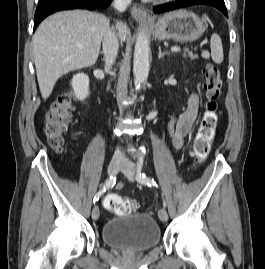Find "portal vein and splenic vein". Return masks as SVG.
<instances>
[{
    "instance_id": "1",
    "label": "portal vein and splenic vein",
    "mask_w": 265,
    "mask_h": 269,
    "mask_svg": "<svg viewBox=\"0 0 265 269\" xmlns=\"http://www.w3.org/2000/svg\"><path fill=\"white\" fill-rule=\"evenodd\" d=\"M180 50H181V49H180L179 47H172V48H171V51H172V52H180Z\"/></svg>"
}]
</instances>
